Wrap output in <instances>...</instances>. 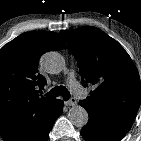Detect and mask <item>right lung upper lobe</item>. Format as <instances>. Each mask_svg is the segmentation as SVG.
I'll use <instances>...</instances> for the list:
<instances>
[{"label":"right lung upper lobe","instance_id":"obj_1","mask_svg":"<svg viewBox=\"0 0 141 141\" xmlns=\"http://www.w3.org/2000/svg\"><path fill=\"white\" fill-rule=\"evenodd\" d=\"M65 46L59 34L38 31L21 34L0 49V133L56 100L38 95L36 88H43L46 80L37 64L45 52Z\"/></svg>","mask_w":141,"mask_h":141}]
</instances>
